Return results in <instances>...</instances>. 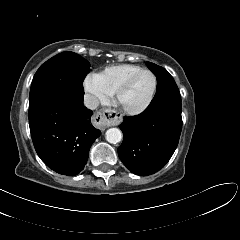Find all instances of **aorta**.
<instances>
[{"label": "aorta", "instance_id": "762f6f07", "mask_svg": "<svg viewBox=\"0 0 240 240\" xmlns=\"http://www.w3.org/2000/svg\"><path fill=\"white\" fill-rule=\"evenodd\" d=\"M122 139V132L118 128H110L106 131V140L111 144H116Z\"/></svg>", "mask_w": 240, "mask_h": 240}]
</instances>
